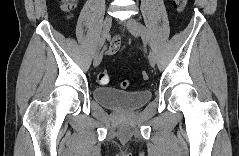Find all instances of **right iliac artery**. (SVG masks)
I'll list each match as a JSON object with an SVG mask.
<instances>
[{"instance_id": "right-iliac-artery-1", "label": "right iliac artery", "mask_w": 239, "mask_h": 156, "mask_svg": "<svg viewBox=\"0 0 239 156\" xmlns=\"http://www.w3.org/2000/svg\"><path fill=\"white\" fill-rule=\"evenodd\" d=\"M104 43H105V38L102 37V38L99 40L98 47H97V49H96V51H95V53H94V57L99 54L100 49H101V47L103 46Z\"/></svg>"}]
</instances>
